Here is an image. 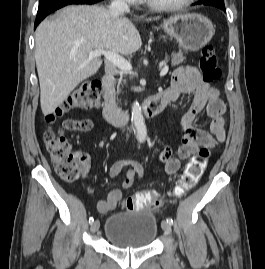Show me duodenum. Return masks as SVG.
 Here are the masks:
<instances>
[{
  "instance_id": "1",
  "label": "duodenum",
  "mask_w": 265,
  "mask_h": 269,
  "mask_svg": "<svg viewBox=\"0 0 265 269\" xmlns=\"http://www.w3.org/2000/svg\"><path fill=\"white\" fill-rule=\"evenodd\" d=\"M104 105L103 116L112 124H125L130 118V111L121 109L116 104V91L114 87V74L111 69L107 70L103 78ZM165 107L162 93L148 98L142 105V110L146 116L152 117L159 114Z\"/></svg>"
}]
</instances>
